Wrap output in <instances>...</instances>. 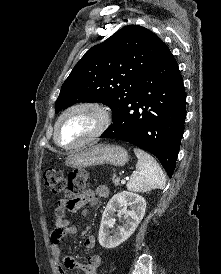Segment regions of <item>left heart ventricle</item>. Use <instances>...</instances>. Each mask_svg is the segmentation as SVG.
I'll list each match as a JSON object with an SVG mask.
<instances>
[{
    "instance_id": "left-heart-ventricle-1",
    "label": "left heart ventricle",
    "mask_w": 221,
    "mask_h": 274,
    "mask_svg": "<svg viewBox=\"0 0 221 274\" xmlns=\"http://www.w3.org/2000/svg\"><path fill=\"white\" fill-rule=\"evenodd\" d=\"M96 117L90 111H75L63 119L58 138L63 144H75L88 136L95 128Z\"/></svg>"
}]
</instances>
